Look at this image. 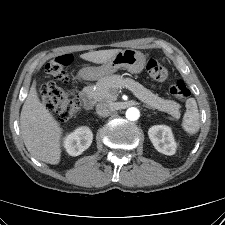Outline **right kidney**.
Masks as SVG:
<instances>
[{
  "instance_id": "obj_1",
  "label": "right kidney",
  "mask_w": 225,
  "mask_h": 225,
  "mask_svg": "<svg viewBox=\"0 0 225 225\" xmlns=\"http://www.w3.org/2000/svg\"><path fill=\"white\" fill-rule=\"evenodd\" d=\"M93 134L88 127H79L68 134L64 140V147L71 156H78L91 145Z\"/></svg>"
}]
</instances>
